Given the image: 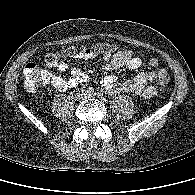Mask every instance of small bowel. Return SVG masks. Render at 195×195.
<instances>
[{"label":"small bowel","instance_id":"small-bowel-1","mask_svg":"<svg viewBox=\"0 0 195 195\" xmlns=\"http://www.w3.org/2000/svg\"><path fill=\"white\" fill-rule=\"evenodd\" d=\"M98 53L96 52H81L75 57L77 59L92 60L96 58ZM103 68L108 71L127 67L130 69H138L143 65V61L134 56L132 50H119L112 54L111 52L103 53ZM151 70L141 71L133 78L119 82L118 78L113 74H107L101 79V84L106 88L108 93L115 95L120 93H131L140 95L143 97H152L156 94V88L148 85L149 82L159 79L162 74H165V70H154L157 68L159 61L157 58H151L148 62ZM58 73L50 76L48 82H50L55 88L59 90H66L74 88L80 84L87 83L89 76L79 68H73L70 70V78L64 79L62 73L69 70L67 63L60 61L54 66Z\"/></svg>","mask_w":195,"mask_h":195}]
</instances>
